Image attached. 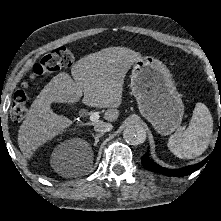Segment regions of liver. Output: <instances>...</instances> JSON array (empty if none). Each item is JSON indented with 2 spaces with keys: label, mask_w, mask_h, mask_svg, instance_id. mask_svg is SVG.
<instances>
[{
  "label": "liver",
  "mask_w": 221,
  "mask_h": 221,
  "mask_svg": "<svg viewBox=\"0 0 221 221\" xmlns=\"http://www.w3.org/2000/svg\"><path fill=\"white\" fill-rule=\"evenodd\" d=\"M141 54L126 47H108L79 59L71 74L53 77L33 101L18 132V145L27 159L48 140L68 128L69 118L57 115L52 103L74 105L83 97L90 107L108 108L104 119L115 121L122 102L124 78ZM95 124V123H93Z\"/></svg>",
  "instance_id": "1"
}]
</instances>
